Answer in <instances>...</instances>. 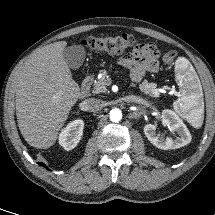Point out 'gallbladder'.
Listing matches in <instances>:
<instances>
[{"mask_svg": "<svg viewBox=\"0 0 215 215\" xmlns=\"http://www.w3.org/2000/svg\"><path fill=\"white\" fill-rule=\"evenodd\" d=\"M62 56L70 68L78 69L85 60V49L81 45L65 47Z\"/></svg>", "mask_w": 215, "mask_h": 215, "instance_id": "bac80fb5", "label": "gallbladder"}]
</instances>
